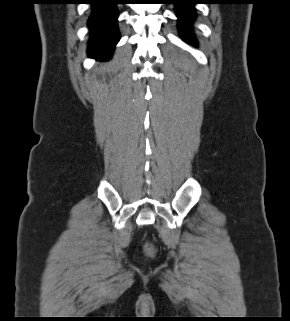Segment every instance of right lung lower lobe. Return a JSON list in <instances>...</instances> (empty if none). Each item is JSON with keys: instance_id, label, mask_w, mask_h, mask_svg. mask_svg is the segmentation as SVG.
I'll return each mask as SVG.
<instances>
[{"instance_id": "98d812e1", "label": "right lung lower lobe", "mask_w": 290, "mask_h": 321, "mask_svg": "<svg viewBox=\"0 0 290 321\" xmlns=\"http://www.w3.org/2000/svg\"><path fill=\"white\" fill-rule=\"evenodd\" d=\"M118 0H91L92 15L88 25L91 32V39L88 46L90 57L108 59L115 44L119 41L120 35L117 27Z\"/></svg>"}]
</instances>
